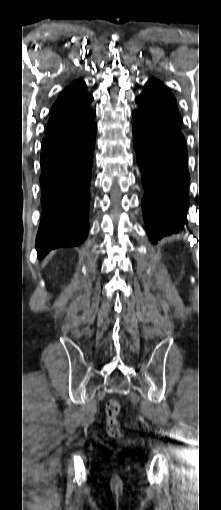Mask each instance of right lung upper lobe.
Listing matches in <instances>:
<instances>
[{"label": "right lung upper lobe", "mask_w": 221, "mask_h": 510, "mask_svg": "<svg viewBox=\"0 0 221 510\" xmlns=\"http://www.w3.org/2000/svg\"><path fill=\"white\" fill-rule=\"evenodd\" d=\"M92 100L83 81L73 82L51 109L46 137H61L84 128L95 117L90 107Z\"/></svg>", "instance_id": "obj_1"}]
</instances>
